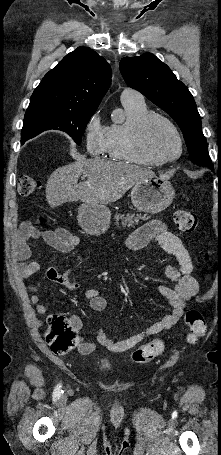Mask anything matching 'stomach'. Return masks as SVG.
I'll return each mask as SVG.
<instances>
[{
  "label": "stomach",
  "instance_id": "obj_1",
  "mask_svg": "<svg viewBox=\"0 0 221 455\" xmlns=\"http://www.w3.org/2000/svg\"><path fill=\"white\" fill-rule=\"evenodd\" d=\"M175 190L162 177L152 176L137 182L131 190V200L141 212L159 213L172 203ZM111 212L104 204H82L78 209V222L82 229L94 236L107 231Z\"/></svg>",
  "mask_w": 221,
  "mask_h": 455
}]
</instances>
